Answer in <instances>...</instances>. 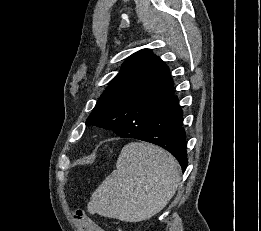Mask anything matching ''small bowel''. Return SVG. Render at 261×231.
<instances>
[{
    "mask_svg": "<svg viewBox=\"0 0 261 231\" xmlns=\"http://www.w3.org/2000/svg\"><path fill=\"white\" fill-rule=\"evenodd\" d=\"M84 231H104V229L98 226L97 224H95L93 221H91V225L88 228H86Z\"/></svg>",
    "mask_w": 261,
    "mask_h": 231,
    "instance_id": "c3829d8e",
    "label": "small bowel"
}]
</instances>
